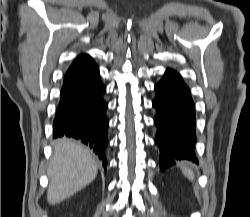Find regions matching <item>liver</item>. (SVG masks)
<instances>
[{
    "instance_id": "1",
    "label": "liver",
    "mask_w": 250,
    "mask_h": 217,
    "mask_svg": "<svg viewBox=\"0 0 250 217\" xmlns=\"http://www.w3.org/2000/svg\"><path fill=\"white\" fill-rule=\"evenodd\" d=\"M97 172L96 160L88 148L66 138L55 141L47 171L50 179L48 202L54 205L69 198L91 183Z\"/></svg>"
}]
</instances>
